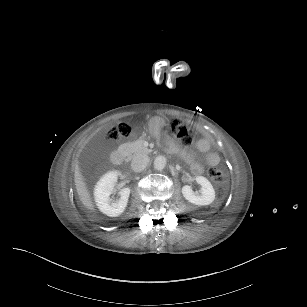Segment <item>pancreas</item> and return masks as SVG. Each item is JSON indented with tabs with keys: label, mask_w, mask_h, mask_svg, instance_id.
Returning <instances> with one entry per match:
<instances>
[{
	"label": "pancreas",
	"mask_w": 307,
	"mask_h": 307,
	"mask_svg": "<svg viewBox=\"0 0 307 307\" xmlns=\"http://www.w3.org/2000/svg\"><path fill=\"white\" fill-rule=\"evenodd\" d=\"M137 147L138 148L136 149L135 152H137V153H145L146 148L143 146V142L141 140L138 141Z\"/></svg>",
	"instance_id": "cf45deb5"
}]
</instances>
